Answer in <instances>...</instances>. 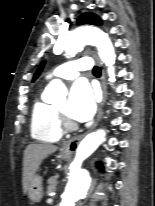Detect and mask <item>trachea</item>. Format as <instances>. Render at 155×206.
Returning a JSON list of instances; mask_svg holds the SVG:
<instances>
[{
  "mask_svg": "<svg viewBox=\"0 0 155 206\" xmlns=\"http://www.w3.org/2000/svg\"><path fill=\"white\" fill-rule=\"evenodd\" d=\"M93 74L96 76H100L101 75V69L98 66H95L93 68Z\"/></svg>",
  "mask_w": 155,
  "mask_h": 206,
  "instance_id": "trachea-1",
  "label": "trachea"
}]
</instances>
